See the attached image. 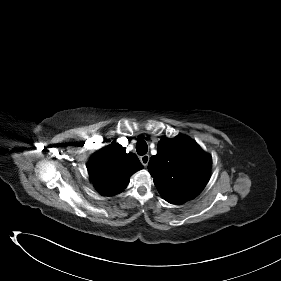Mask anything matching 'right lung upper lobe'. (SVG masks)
<instances>
[{"label":"right lung upper lobe","mask_w":281,"mask_h":281,"mask_svg":"<svg viewBox=\"0 0 281 281\" xmlns=\"http://www.w3.org/2000/svg\"><path fill=\"white\" fill-rule=\"evenodd\" d=\"M142 168L138 157L127 154L118 143H111L94 153L87 165L95 189L103 196L122 192L130 176Z\"/></svg>","instance_id":"obj_1"}]
</instances>
